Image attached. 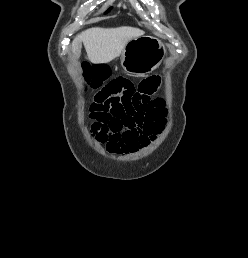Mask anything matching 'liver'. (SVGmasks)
Here are the masks:
<instances>
[{
  "mask_svg": "<svg viewBox=\"0 0 248 258\" xmlns=\"http://www.w3.org/2000/svg\"><path fill=\"white\" fill-rule=\"evenodd\" d=\"M143 35L144 31L134 27L91 28L75 37L72 51L79 57L83 42L90 62L106 64L118 57L130 40Z\"/></svg>",
  "mask_w": 248,
  "mask_h": 258,
  "instance_id": "6515ba94",
  "label": "liver"
}]
</instances>
